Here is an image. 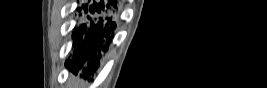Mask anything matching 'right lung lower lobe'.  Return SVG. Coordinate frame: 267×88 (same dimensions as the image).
<instances>
[{"mask_svg":"<svg viewBox=\"0 0 267 88\" xmlns=\"http://www.w3.org/2000/svg\"><path fill=\"white\" fill-rule=\"evenodd\" d=\"M82 10L93 15H88L89 21L78 27L73 34L74 57L66 66L75 74L78 69H82L84 76H90L98 69L102 54L107 52L112 42L116 28V0L93 2L83 5Z\"/></svg>","mask_w":267,"mask_h":88,"instance_id":"98d812e1","label":"right lung lower lobe"}]
</instances>
